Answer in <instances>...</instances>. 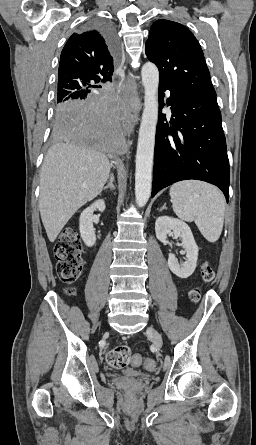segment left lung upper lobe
I'll return each instance as SVG.
<instances>
[{
	"mask_svg": "<svg viewBox=\"0 0 256 445\" xmlns=\"http://www.w3.org/2000/svg\"><path fill=\"white\" fill-rule=\"evenodd\" d=\"M145 53L158 67L160 82L216 99L200 44L182 24L163 19L154 22Z\"/></svg>",
	"mask_w": 256,
	"mask_h": 445,
	"instance_id": "left-lung-upper-lobe-1",
	"label": "left lung upper lobe"
}]
</instances>
